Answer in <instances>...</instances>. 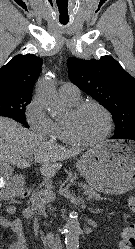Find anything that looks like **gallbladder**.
<instances>
[{
	"label": "gallbladder",
	"mask_w": 135,
	"mask_h": 249,
	"mask_svg": "<svg viewBox=\"0 0 135 249\" xmlns=\"http://www.w3.org/2000/svg\"><path fill=\"white\" fill-rule=\"evenodd\" d=\"M9 167L7 165H4L0 162V177L4 176L7 171H8Z\"/></svg>",
	"instance_id": "bac80fb5"
}]
</instances>
